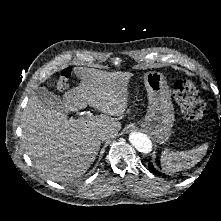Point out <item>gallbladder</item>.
<instances>
[{
    "instance_id": "bac80fb5",
    "label": "gallbladder",
    "mask_w": 221,
    "mask_h": 221,
    "mask_svg": "<svg viewBox=\"0 0 221 221\" xmlns=\"http://www.w3.org/2000/svg\"><path fill=\"white\" fill-rule=\"evenodd\" d=\"M34 94L38 97L39 101L48 108L66 112L65 106L59 96L48 91L45 87H39L35 89Z\"/></svg>"
}]
</instances>
